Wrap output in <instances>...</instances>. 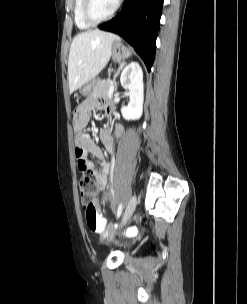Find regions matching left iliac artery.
Instances as JSON below:
<instances>
[{"mask_svg": "<svg viewBox=\"0 0 247 304\" xmlns=\"http://www.w3.org/2000/svg\"><path fill=\"white\" fill-rule=\"evenodd\" d=\"M122 210H123V205H122V203L119 205V207H118V210H117V218H119L120 217V215H121V213H122Z\"/></svg>", "mask_w": 247, "mask_h": 304, "instance_id": "44dca946", "label": "left iliac artery"}]
</instances>
